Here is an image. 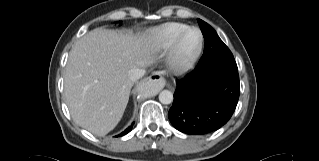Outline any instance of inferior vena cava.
Segmentation results:
<instances>
[{
  "mask_svg": "<svg viewBox=\"0 0 319 161\" xmlns=\"http://www.w3.org/2000/svg\"><path fill=\"white\" fill-rule=\"evenodd\" d=\"M145 74V70L143 68H133L129 71V78L132 81H136L141 78Z\"/></svg>",
  "mask_w": 319,
  "mask_h": 161,
  "instance_id": "602c4592",
  "label": "inferior vena cava"
}]
</instances>
